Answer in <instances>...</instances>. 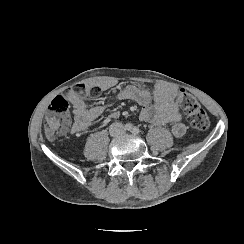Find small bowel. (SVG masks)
<instances>
[{
	"label": "small bowel",
	"instance_id": "obj_1",
	"mask_svg": "<svg viewBox=\"0 0 244 244\" xmlns=\"http://www.w3.org/2000/svg\"><path fill=\"white\" fill-rule=\"evenodd\" d=\"M87 86H98L102 90L113 89V80H99L90 82ZM179 91L173 87L159 85L149 90L142 85H123L118 88L110 100L87 106L83 98L76 93H70L69 99L73 105L72 133L86 134L90 131L92 122L98 118L113 102L129 98L142 106L139 119L155 126H170L173 137L180 139L185 136L187 127L184 124V112L178 103ZM120 116L119 111H111L107 118L115 120Z\"/></svg>",
	"mask_w": 244,
	"mask_h": 244
}]
</instances>
